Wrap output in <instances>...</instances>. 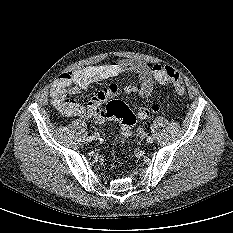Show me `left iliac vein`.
Listing matches in <instances>:
<instances>
[{
    "label": "left iliac vein",
    "instance_id": "1",
    "mask_svg": "<svg viewBox=\"0 0 233 233\" xmlns=\"http://www.w3.org/2000/svg\"><path fill=\"white\" fill-rule=\"evenodd\" d=\"M139 139L140 140H145L146 139V133L145 132H140L139 133Z\"/></svg>",
    "mask_w": 233,
    "mask_h": 233
}]
</instances>
